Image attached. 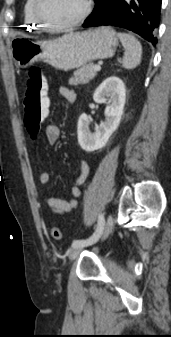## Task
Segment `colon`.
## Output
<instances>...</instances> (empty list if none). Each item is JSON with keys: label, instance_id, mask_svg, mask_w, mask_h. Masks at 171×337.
<instances>
[{"label": "colon", "instance_id": "obj_1", "mask_svg": "<svg viewBox=\"0 0 171 337\" xmlns=\"http://www.w3.org/2000/svg\"><path fill=\"white\" fill-rule=\"evenodd\" d=\"M46 92V80L42 70L38 66H33L28 71L27 87L24 99V126L31 136H36L40 130L44 116L50 115L49 107L50 94ZM50 235L55 240L62 238V231L57 226L50 228Z\"/></svg>", "mask_w": 171, "mask_h": 337}]
</instances>
